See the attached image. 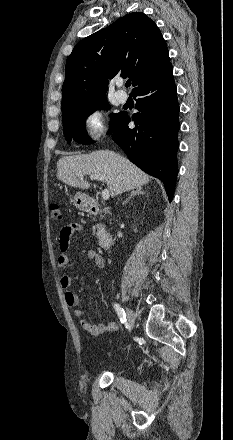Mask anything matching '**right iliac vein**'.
<instances>
[{"instance_id":"1","label":"right iliac vein","mask_w":233,"mask_h":440,"mask_svg":"<svg viewBox=\"0 0 233 440\" xmlns=\"http://www.w3.org/2000/svg\"><path fill=\"white\" fill-rule=\"evenodd\" d=\"M126 317L129 330H131L135 324L136 316L134 312L128 307H126Z\"/></svg>"}]
</instances>
